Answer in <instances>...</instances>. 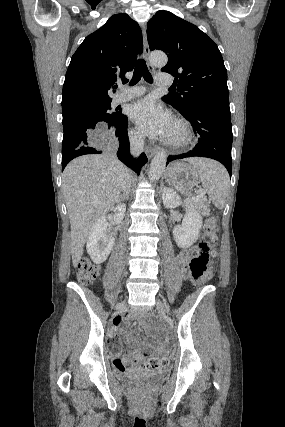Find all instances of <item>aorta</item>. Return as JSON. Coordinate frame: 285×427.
<instances>
[{
    "label": "aorta",
    "instance_id": "762f6f07",
    "mask_svg": "<svg viewBox=\"0 0 285 427\" xmlns=\"http://www.w3.org/2000/svg\"><path fill=\"white\" fill-rule=\"evenodd\" d=\"M167 61H168L167 56L163 52H153L150 55V62L153 66H156V67L165 66ZM166 161H167V155L165 151H159L154 156L149 169V179L152 182L159 180V178L161 177L165 169Z\"/></svg>",
    "mask_w": 285,
    "mask_h": 427
}]
</instances>
